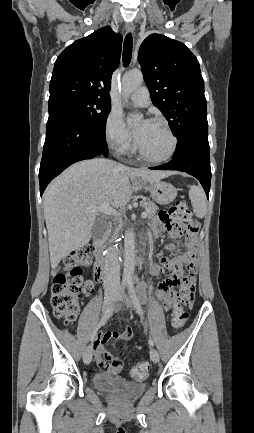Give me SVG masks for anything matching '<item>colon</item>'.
Segmentation results:
<instances>
[{"instance_id":"1","label":"colon","mask_w":254,"mask_h":433,"mask_svg":"<svg viewBox=\"0 0 254 433\" xmlns=\"http://www.w3.org/2000/svg\"><path fill=\"white\" fill-rule=\"evenodd\" d=\"M158 218L163 224L179 229L182 233L193 237L199 230V222L193 218L188 204L184 200L178 201L168 211L160 212ZM91 262V249L83 247L68 254L56 273L51 289V305L55 315L66 325L72 324L78 315L82 294L90 293L93 289L91 281L83 278V269ZM172 311L171 324L176 330L181 329L187 322L189 314L182 305L191 304L192 300L179 299ZM150 365L146 361L138 362L132 369L131 375L136 380H143L149 373Z\"/></svg>"}]
</instances>
